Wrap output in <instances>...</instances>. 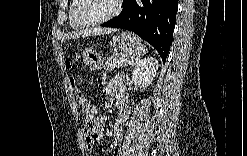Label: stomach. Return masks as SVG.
<instances>
[{
	"mask_svg": "<svg viewBox=\"0 0 247 156\" xmlns=\"http://www.w3.org/2000/svg\"><path fill=\"white\" fill-rule=\"evenodd\" d=\"M112 45L123 51L130 57H135L142 53L143 46L140 39L133 33L123 31L113 37ZM83 63L90 69L99 70L104 66L103 58L96 50L89 48L82 53Z\"/></svg>",
	"mask_w": 247,
	"mask_h": 156,
	"instance_id": "stomach-1",
	"label": "stomach"
}]
</instances>
